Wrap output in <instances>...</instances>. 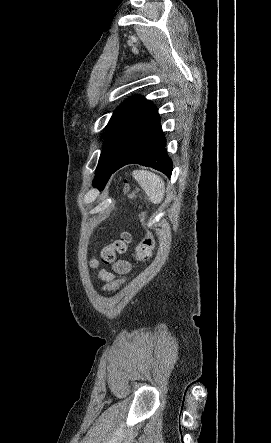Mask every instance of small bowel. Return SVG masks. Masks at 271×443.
Here are the masks:
<instances>
[{
	"label": "small bowel",
	"instance_id": "obj_1",
	"mask_svg": "<svg viewBox=\"0 0 271 443\" xmlns=\"http://www.w3.org/2000/svg\"><path fill=\"white\" fill-rule=\"evenodd\" d=\"M128 269H129V264L126 261H118L114 266V270L119 273L125 272ZM100 277L105 281H110L112 280L113 275L107 271H102L100 273Z\"/></svg>",
	"mask_w": 271,
	"mask_h": 443
}]
</instances>
